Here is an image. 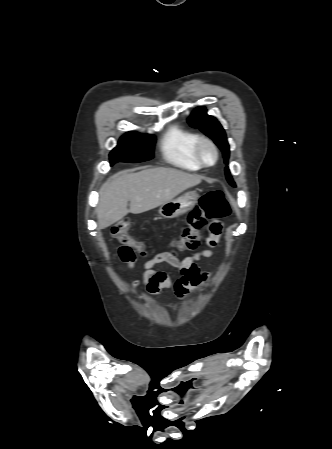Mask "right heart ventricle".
<instances>
[{
    "label": "right heart ventricle",
    "instance_id": "right-heart-ventricle-1",
    "mask_svg": "<svg viewBox=\"0 0 332 449\" xmlns=\"http://www.w3.org/2000/svg\"><path fill=\"white\" fill-rule=\"evenodd\" d=\"M198 135L178 125L170 126L161 140V153L166 161L186 170H199L201 165L194 155Z\"/></svg>",
    "mask_w": 332,
    "mask_h": 449
}]
</instances>
